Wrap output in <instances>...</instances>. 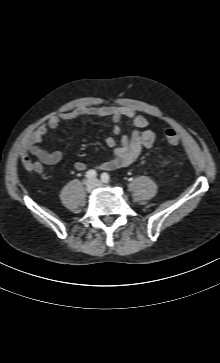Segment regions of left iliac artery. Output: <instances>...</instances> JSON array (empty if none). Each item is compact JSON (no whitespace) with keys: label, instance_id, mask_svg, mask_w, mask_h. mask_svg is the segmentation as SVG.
<instances>
[{"label":"left iliac artery","instance_id":"44dca946","mask_svg":"<svg viewBox=\"0 0 220 363\" xmlns=\"http://www.w3.org/2000/svg\"><path fill=\"white\" fill-rule=\"evenodd\" d=\"M101 179H102V181L103 182H105V183H109L110 182V176H109V174L108 173H102V175H101Z\"/></svg>","mask_w":220,"mask_h":363}]
</instances>
